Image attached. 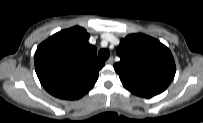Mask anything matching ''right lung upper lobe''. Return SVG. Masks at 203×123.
Returning <instances> with one entry per match:
<instances>
[{
	"label": "right lung upper lobe",
	"instance_id": "obj_1",
	"mask_svg": "<svg viewBox=\"0 0 203 123\" xmlns=\"http://www.w3.org/2000/svg\"><path fill=\"white\" fill-rule=\"evenodd\" d=\"M90 34L79 26L62 30L42 42L34 55L36 74L47 92L75 100L85 95L105 65L90 45Z\"/></svg>",
	"mask_w": 203,
	"mask_h": 123
}]
</instances>
